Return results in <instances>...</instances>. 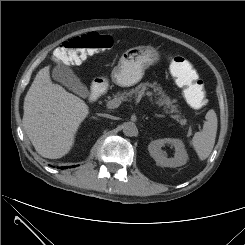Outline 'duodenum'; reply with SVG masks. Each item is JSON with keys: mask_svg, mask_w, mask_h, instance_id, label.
I'll use <instances>...</instances> for the list:
<instances>
[{"mask_svg": "<svg viewBox=\"0 0 245 245\" xmlns=\"http://www.w3.org/2000/svg\"><path fill=\"white\" fill-rule=\"evenodd\" d=\"M102 94V85L100 83H95L92 88L89 95V100L91 102L97 101Z\"/></svg>", "mask_w": 245, "mask_h": 245, "instance_id": "1", "label": "duodenum"}]
</instances>
